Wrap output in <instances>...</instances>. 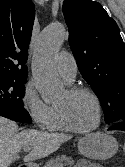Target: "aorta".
<instances>
[{
	"mask_svg": "<svg viewBox=\"0 0 125 167\" xmlns=\"http://www.w3.org/2000/svg\"><path fill=\"white\" fill-rule=\"evenodd\" d=\"M65 37V27L55 23L47 26L38 39L32 62V75L36 88L46 103L58 99L62 91L55 67V55Z\"/></svg>",
	"mask_w": 125,
	"mask_h": 167,
	"instance_id": "aorta-1",
	"label": "aorta"
}]
</instances>
